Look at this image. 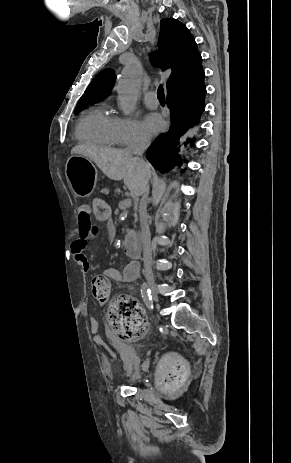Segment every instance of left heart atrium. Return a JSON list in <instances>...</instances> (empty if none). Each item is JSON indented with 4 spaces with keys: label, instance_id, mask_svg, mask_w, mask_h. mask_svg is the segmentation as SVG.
I'll return each mask as SVG.
<instances>
[{
    "label": "left heart atrium",
    "instance_id": "left-heart-atrium-1",
    "mask_svg": "<svg viewBox=\"0 0 291 463\" xmlns=\"http://www.w3.org/2000/svg\"><path fill=\"white\" fill-rule=\"evenodd\" d=\"M145 128L150 133H158L164 128V122L157 113H149L144 120Z\"/></svg>",
    "mask_w": 291,
    "mask_h": 463
}]
</instances>
